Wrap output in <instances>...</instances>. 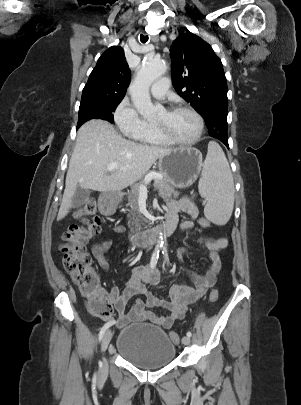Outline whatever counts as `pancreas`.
<instances>
[{
	"label": "pancreas",
	"instance_id": "obj_1",
	"mask_svg": "<svg viewBox=\"0 0 301 405\" xmlns=\"http://www.w3.org/2000/svg\"><path fill=\"white\" fill-rule=\"evenodd\" d=\"M163 176V175H162ZM141 185L147 186L145 180L132 186L131 191L128 193V201L133 212L132 219L128 222V227L130 229V234L138 233L143 229L144 219L139 214L138 210V199H139V187ZM154 188L158 190L160 197L165 201H169L172 197H177L179 192L175 191L174 188L168 183L166 178L163 176L162 179H154Z\"/></svg>",
	"mask_w": 301,
	"mask_h": 405
}]
</instances>
